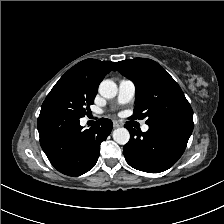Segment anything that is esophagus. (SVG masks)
Segmentation results:
<instances>
[{
	"instance_id": "esophagus-1",
	"label": "esophagus",
	"mask_w": 224,
	"mask_h": 224,
	"mask_svg": "<svg viewBox=\"0 0 224 224\" xmlns=\"http://www.w3.org/2000/svg\"><path fill=\"white\" fill-rule=\"evenodd\" d=\"M120 126H121V124L118 121H116V120L113 121V127L114 128H117V127H120Z\"/></svg>"
}]
</instances>
